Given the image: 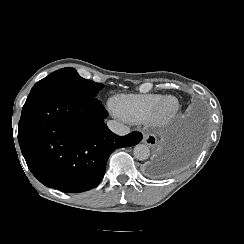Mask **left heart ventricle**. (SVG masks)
I'll use <instances>...</instances> for the list:
<instances>
[{"label":"left heart ventricle","instance_id":"obj_1","mask_svg":"<svg viewBox=\"0 0 244 244\" xmlns=\"http://www.w3.org/2000/svg\"><path fill=\"white\" fill-rule=\"evenodd\" d=\"M167 104H168V105L172 104V101H168Z\"/></svg>","mask_w":244,"mask_h":244}]
</instances>
